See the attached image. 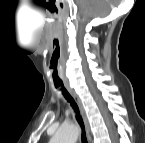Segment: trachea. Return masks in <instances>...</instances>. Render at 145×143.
I'll list each match as a JSON object with an SVG mask.
<instances>
[{
	"label": "trachea",
	"instance_id": "1",
	"mask_svg": "<svg viewBox=\"0 0 145 143\" xmlns=\"http://www.w3.org/2000/svg\"><path fill=\"white\" fill-rule=\"evenodd\" d=\"M54 85L57 89H60L62 91L63 96L70 103V105L72 106V108L74 109V111L76 113V119L82 128V138H81L82 143H88L86 134H85L83 120H82L81 116L79 115V110H78V106H77L76 102L74 101L72 96L68 93V91L64 88L63 83L55 82Z\"/></svg>",
	"mask_w": 145,
	"mask_h": 143
}]
</instances>
